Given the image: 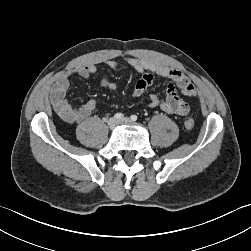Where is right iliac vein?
<instances>
[{
  "mask_svg": "<svg viewBox=\"0 0 251 251\" xmlns=\"http://www.w3.org/2000/svg\"><path fill=\"white\" fill-rule=\"evenodd\" d=\"M118 124H119V121L115 117L110 118L107 122V125L109 129L111 130H113Z\"/></svg>",
  "mask_w": 251,
  "mask_h": 251,
  "instance_id": "obj_1",
  "label": "right iliac vein"
}]
</instances>
